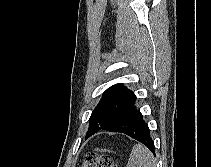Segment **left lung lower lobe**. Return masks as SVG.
Segmentation results:
<instances>
[{
  "label": "left lung lower lobe",
  "instance_id": "0a47b994",
  "mask_svg": "<svg viewBox=\"0 0 211 167\" xmlns=\"http://www.w3.org/2000/svg\"><path fill=\"white\" fill-rule=\"evenodd\" d=\"M135 100L125 107L111 122L91 130L86 134L85 138L102 129L111 132H121L143 143L155 154L149 127L143 120L141 112L134 107Z\"/></svg>",
  "mask_w": 211,
  "mask_h": 167
}]
</instances>
